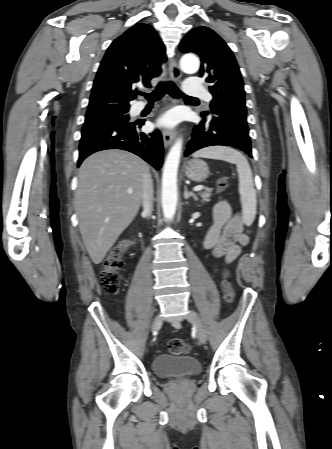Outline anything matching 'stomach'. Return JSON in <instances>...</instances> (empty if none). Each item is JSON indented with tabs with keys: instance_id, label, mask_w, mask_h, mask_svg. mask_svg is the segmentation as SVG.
Segmentation results:
<instances>
[{
	"instance_id": "obj_1",
	"label": "stomach",
	"mask_w": 332,
	"mask_h": 449,
	"mask_svg": "<svg viewBox=\"0 0 332 449\" xmlns=\"http://www.w3.org/2000/svg\"><path fill=\"white\" fill-rule=\"evenodd\" d=\"M184 168L186 177L194 182H202L210 174L208 165L200 159L188 161Z\"/></svg>"
}]
</instances>
